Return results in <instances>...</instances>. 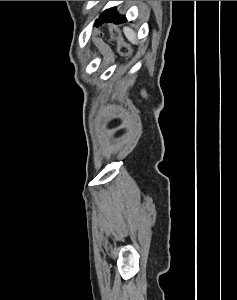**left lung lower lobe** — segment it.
Listing matches in <instances>:
<instances>
[{
	"label": "left lung lower lobe",
	"mask_w": 237,
	"mask_h": 300,
	"mask_svg": "<svg viewBox=\"0 0 237 300\" xmlns=\"http://www.w3.org/2000/svg\"><path fill=\"white\" fill-rule=\"evenodd\" d=\"M123 21H125V17L118 15L115 8H111V9L104 11L101 14V16L99 17V19L96 23V26L98 27L105 22H113V23L118 24Z\"/></svg>",
	"instance_id": "1"
}]
</instances>
